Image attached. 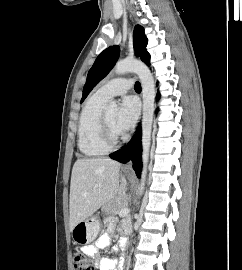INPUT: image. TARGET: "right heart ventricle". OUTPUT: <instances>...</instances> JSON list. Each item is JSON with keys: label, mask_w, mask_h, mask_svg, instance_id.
I'll return each instance as SVG.
<instances>
[{"label": "right heart ventricle", "mask_w": 242, "mask_h": 270, "mask_svg": "<svg viewBox=\"0 0 242 270\" xmlns=\"http://www.w3.org/2000/svg\"><path fill=\"white\" fill-rule=\"evenodd\" d=\"M106 100L93 94L86 102L79 120L78 148L87 157L106 154L109 150L100 138V120Z\"/></svg>", "instance_id": "obj_1"}]
</instances>
